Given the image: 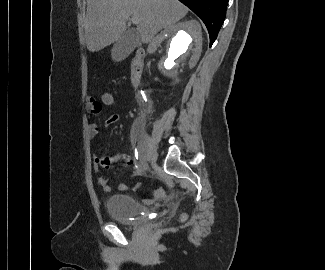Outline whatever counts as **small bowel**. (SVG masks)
<instances>
[{
	"mask_svg": "<svg viewBox=\"0 0 325 270\" xmlns=\"http://www.w3.org/2000/svg\"><path fill=\"white\" fill-rule=\"evenodd\" d=\"M101 96H114V94L111 92L110 95H107L106 92H104ZM114 103H100L99 100L95 99V98H91L88 101L87 104V111H88V115L90 117L93 116H97L102 112V109L104 107L107 106H112ZM118 120V115H113L111 117H109L106 122L105 125L106 126H112L114 125ZM99 125L96 123H91L89 125V135L91 137H95L98 135L99 133ZM114 162H121L124 165H128L132 163V157L126 153H120L117 155H95L94 156V163H95V167L98 168H103V169H109L112 165V163ZM140 175V171L139 170H135L134 171V176H139ZM100 185L102 186V188L104 189V191L106 192H110L112 190V186L109 184V181L106 177L100 176L98 179ZM140 184L139 183H135L131 186H128L126 184H120L118 186V190L121 192L127 191V190H132V191H136L139 188Z\"/></svg>",
	"mask_w": 325,
	"mask_h": 270,
	"instance_id": "1",
	"label": "small bowel"
}]
</instances>
